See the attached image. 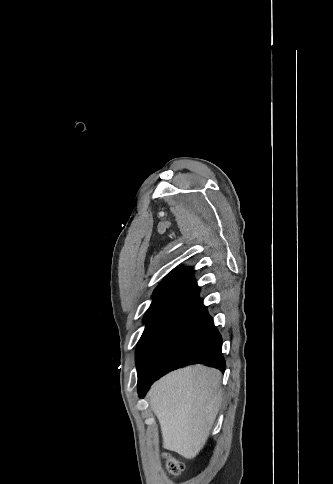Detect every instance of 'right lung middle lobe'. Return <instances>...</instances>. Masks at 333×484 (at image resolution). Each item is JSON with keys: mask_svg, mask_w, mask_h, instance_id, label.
Instances as JSON below:
<instances>
[{"mask_svg": "<svg viewBox=\"0 0 333 484\" xmlns=\"http://www.w3.org/2000/svg\"><path fill=\"white\" fill-rule=\"evenodd\" d=\"M157 305L158 304H152L149 309L147 310L145 316H144V323H146V327H145V330L137 344V349H136V364L139 363L141 357H142V354H143V347L145 345V339H146V334H147V329H148V326H149V322L157 308Z\"/></svg>", "mask_w": 333, "mask_h": 484, "instance_id": "dd1d6c3e", "label": "right lung middle lobe"}]
</instances>
